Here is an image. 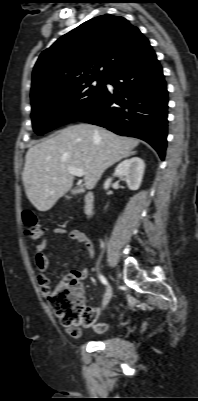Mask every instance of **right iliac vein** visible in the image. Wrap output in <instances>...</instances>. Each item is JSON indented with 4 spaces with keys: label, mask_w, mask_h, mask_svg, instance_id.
<instances>
[{
    "label": "right iliac vein",
    "mask_w": 198,
    "mask_h": 401,
    "mask_svg": "<svg viewBox=\"0 0 198 401\" xmlns=\"http://www.w3.org/2000/svg\"><path fill=\"white\" fill-rule=\"evenodd\" d=\"M112 294H113V290H112V287L109 285V286L107 287L106 293H105V300H106L107 303H108V301L111 299Z\"/></svg>",
    "instance_id": "63e3f726"
}]
</instances>
